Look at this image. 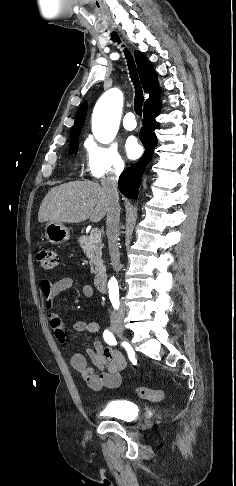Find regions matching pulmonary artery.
<instances>
[{
  "instance_id": "obj_1",
  "label": "pulmonary artery",
  "mask_w": 236,
  "mask_h": 486,
  "mask_svg": "<svg viewBox=\"0 0 236 486\" xmlns=\"http://www.w3.org/2000/svg\"><path fill=\"white\" fill-rule=\"evenodd\" d=\"M122 124L125 129L134 130L137 126L134 114L132 112L126 113L123 118Z\"/></svg>"
}]
</instances>
